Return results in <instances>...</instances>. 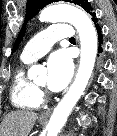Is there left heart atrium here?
Wrapping results in <instances>:
<instances>
[{
  "instance_id": "1",
  "label": "left heart atrium",
  "mask_w": 117,
  "mask_h": 136,
  "mask_svg": "<svg viewBox=\"0 0 117 136\" xmlns=\"http://www.w3.org/2000/svg\"><path fill=\"white\" fill-rule=\"evenodd\" d=\"M47 86L51 91L58 92L66 87L73 74V62L66 50L54 52L47 62Z\"/></svg>"
}]
</instances>
